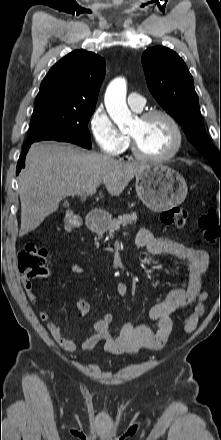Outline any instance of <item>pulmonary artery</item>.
<instances>
[{
  "label": "pulmonary artery",
  "instance_id": "e3ab8cb5",
  "mask_svg": "<svg viewBox=\"0 0 221 440\" xmlns=\"http://www.w3.org/2000/svg\"><path fill=\"white\" fill-rule=\"evenodd\" d=\"M127 102L129 106L136 111L142 110L145 105L144 97L136 92L130 93L128 95Z\"/></svg>",
  "mask_w": 221,
  "mask_h": 440
}]
</instances>
